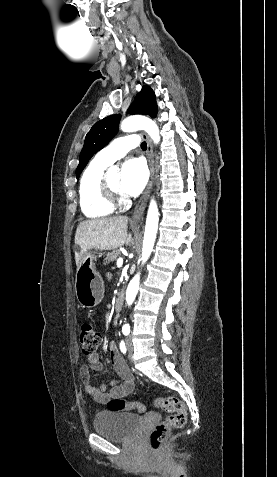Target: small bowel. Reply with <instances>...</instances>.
<instances>
[{"label": "small bowel", "instance_id": "obj_1", "mask_svg": "<svg viewBox=\"0 0 277 477\" xmlns=\"http://www.w3.org/2000/svg\"><path fill=\"white\" fill-rule=\"evenodd\" d=\"M109 351L111 363L118 375L117 379L110 381L111 389L109 391H107V387L104 383H101L99 387H94L90 382V372L101 371L103 368L98 353L90 355L87 364L82 366L80 370V377L84 389L95 402L100 404H108V402L114 398L124 399L133 392L136 385L135 377L131 373L114 341L110 343Z\"/></svg>", "mask_w": 277, "mask_h": 477}]
</instances>
